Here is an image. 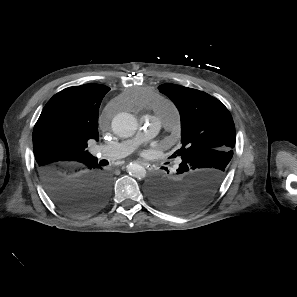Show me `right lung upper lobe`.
Returning <instances> with one entry per match:
<instances>
[{
	"mask_svg": "<svg viewBox=\"0 0 297 297\" xmlns=\"http://www.w3.org/2000/svg\"><path fill=\"white\" fill-rule=\"evenodd\" d=\"M109 90L100 84L69 87L47 102L33 130L38 169L95 159L85 149L89 139H99L98 111Z\"/></svg>",
	"mask_w": 297,
	"mask_h": 297,
	"instance_id": "cb5924a9",
	"label": "right lung upper lobe"
}]
</instances>
